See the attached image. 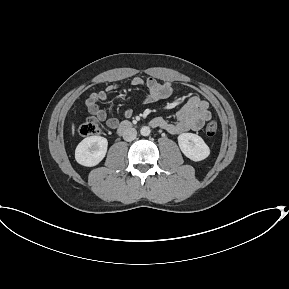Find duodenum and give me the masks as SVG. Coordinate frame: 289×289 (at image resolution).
Wrapping results in <instances>:
<instances>
[{
	"instance_id": "410a0bca",
	"label": "duodenum",
	"mask_w": 289,
	"mask_h": 289,
	"mask_svg": "<svg viewBox=\"0 0 289 289\" xmlns=\"http://www.w3.org/2000/svg\"><path fill=\"white\" fill-rule=\"evenodd\" d=\"M152 125L155 126L153 123H152ZM131 127H132V124L130 122L125 121V122L121 123V125L118 129V133L122 134V133L128 131Z\"/></svg>"
}]
</instances>
